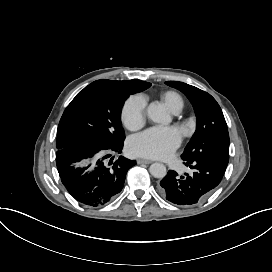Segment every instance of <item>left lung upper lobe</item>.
Instances as JSON below:
<instances>
[{
    "label": "left lung upper lobe",
    "instance_id": "obj_1",
    "mask_svg": "<svg viewBox=\"0 0 272 272\" xmlns=\"http://www.w3.org/2000/svg\"><path fill=\"white\" fill-rule=\"evenodd\" d=\"M165 83L187 96L197 116V129L181 156L182 159L188 162L209 160L227 166L229 134L222 110L216 100L194 86L177 81Z\"/></svg>",
    "mask_w": 272,
    "mask_h": 272
}]
</instances>
